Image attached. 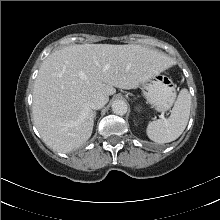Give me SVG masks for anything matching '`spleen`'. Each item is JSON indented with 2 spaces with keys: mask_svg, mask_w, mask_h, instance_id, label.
Masks as SVG:
<instances>
[{
  "mask_svg": "<svg viewBox=\"0 0 220 220\" xmlns=\"http://www.w3.org/2000/svg\"><path fill=\"white\" fill-rule=\"evenodd\" d=\"M191 108V95L183 88L167 119L151 121L147 125V136L154 142L163 144L176 140L185 130Z\"/></svg>",
  "mask_w": 220,
  "mask_h": 220,
  "instance_id": "3e777b00",
  "label": "spleen"
}]
</instances>
